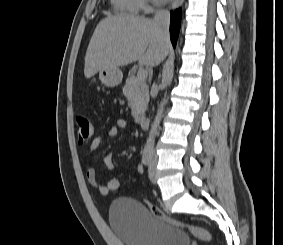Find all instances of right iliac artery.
Listing matches in <instances>:
<instances>
[{"mask_svg": "<svg viewBox=\"0 0 283 245\" xmlns=\"http://www.w3.org/2000/svg\"><path fill=\"white\" fill-rule=\"evenodd\" d=\"M150 156H151V150L150 149H145L143 151V154H142V163L145 166L149 165Z\"/></svg>", "mask_w": 283, "mask_h": 245, "instance_id": "obj_1", "label": "right iliac artery"}]
</instances>
